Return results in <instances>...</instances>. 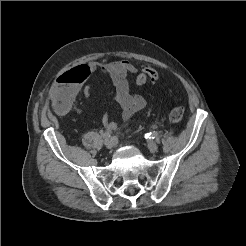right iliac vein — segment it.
Here are the masks:
<instances>
[{
	"label": "right iliac vein",
	"instance_id": "1",
	"mask_svg": "<svg viewBox=\"0 0 246 246\" xmlns=\"http://www.w3.org/2000/svg\"><path fill=\"white\" fill-rule=\"evenodd\" d=\"M104 144H105L106 148H108V149H112L114 146V142H113L112 138H105Z\"/></svg>",
	"mask_w": 246,
	"mask_h": 246
}]
</instances>
